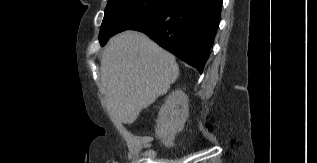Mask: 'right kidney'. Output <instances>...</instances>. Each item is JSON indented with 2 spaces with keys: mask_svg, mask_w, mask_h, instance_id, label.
<instances>
[{
  "mask_svg": "<svg viewBox=\"0 0 317 163\" xmlns=\"http://www.w3.org/2000/svg\"><path fill=\"white\" fill-rule=\"evenodd\" d=\"M189 116L188 97L181 90L168 95L161 106L155 133L166 147L174 145L177 133L181 132Z\"/></svg>",
  "mask_w": 317,
  "mask_h": 163,
  "instance_id": "ca27d5eb",
  "label": "right kidney"
}]
</instances>
